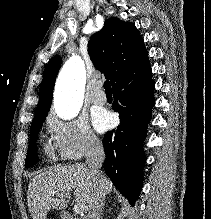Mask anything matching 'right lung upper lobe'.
Wrapping results in <instances>:
<instances>
[{"label": "right lung upper lobe", "mask_w": 211, "mask_h": 219, "mask_svg": "<svg viewBox=\"0 0 211 219\" xmlns=\"http://www.w3.org/2000/svg\"><path fill=\"white\" fill-rule=\"evenodd\" d=\"M88 52L95 67L110 79L111 85L148 59L144 42L135 25L118 18L107 19L103 28L92 35ZM60 64V56H55L45 68L35 116L48 114Z\"/></svg>", "instance_id": "obj_1"}]
</instances>
